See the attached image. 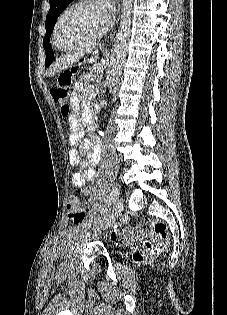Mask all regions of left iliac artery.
<instances>
[{"label": "left iliac artery", "instance_id": "obj_1", "mask_svg": "<svg viewBox=\"0 0 227 315\" xmlns=\"http://www.w3.org/2000/svg\"><path fill=\"white\" fill-rule=\"evenodd\" d=\"M116 200V193H114L113 191L109 194L104 207L102 208L101 214L104 216H106L107 212L110 210V207L112 205V203Z\"/></svg>", "mask_w": 227, "mask_h": 315}]
</instances>
